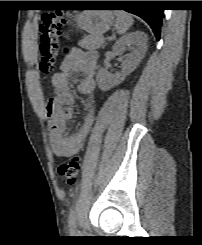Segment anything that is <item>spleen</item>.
Segmentation results:
<instances>
[{"instance_id":"spleen-1","label":"spleen","mask_w":202,"mask_h":245,"mask_svg":"<svg viewBox=\"0 0 202 245\" xmlns=\"http://www.w3.org/2000/svg\"><path fill=\"white\" fill-rule=\"evenodd\" d=\"M114 14L116 16L115 27L117 33L120 35L125 34L132 26L134 22L133 18L125 11H114Z\"/></svg>"}]
</instances>
